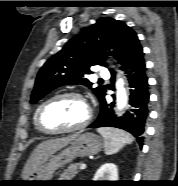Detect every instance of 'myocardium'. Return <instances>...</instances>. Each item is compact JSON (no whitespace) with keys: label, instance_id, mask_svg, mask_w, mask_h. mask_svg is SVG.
I'll list each match as a JSON object with an SVG mask.
<instances>
[{"label":"myocardium","instance_id":"obj_1","mask_svg":"<svg viewBox=\"0 0 178 186\" xmlns=\"http://www.w3.org/2000/svg\"><path fill=\"white\" fill-rule=\"evenodd\" d=\"M65 97H74V98H77L80 101H82L87 109L86 117L84 118V120L80 124H78L77 126H74V127L60 129V130L48 129L43 123L44 110L52 102H54L58 99H61V98H65ZM92 116H93V111H92L90 104L86 100V98L79 92L68 91V92L56 94V95L50 97L49 99H47L46 101H44L38 108L37 115H36V123H37L38 129L45 134H50V135L64 134V133L77 132V131L84 129L91 122Z\"/></svg>","mask_w":178,"mask_h":186}]
</instances>
